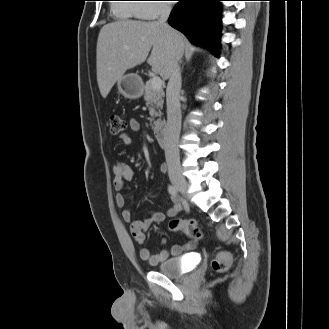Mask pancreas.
Returning <instances> with one entry per match:
<instances>
[{
  "label": "pancreas",
  "instance_id": "1",
  "mask_svg": "<svg viewBox=\"0 0 329 329\" xmlns=\"http://www.w3.org/2000/svg\"><path fill=\"white\" fill-rule=\"evenodd\" d=\"M144 89V100L146 101L147 107H149L150 121H154V124L158 125L159 120L155 121V118L161 116L160 109L163 107L164 91L162 88L157 90L153 89L150 80L146 82Z\"/></svg>",
  "mask_w": 329,
  "mask_h": 329
}]
</instances>
